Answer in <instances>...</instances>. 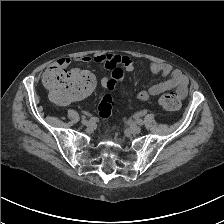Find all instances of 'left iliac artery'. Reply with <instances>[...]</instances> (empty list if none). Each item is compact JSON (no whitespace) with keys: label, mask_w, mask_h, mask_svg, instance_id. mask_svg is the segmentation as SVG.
<instances>
[{"label":"left iliac artery","mask_w":224,"mask_h":224,"mask_svg":"<svg viewBox=\"0 0 224 224\" xmlns=\"http://www.w3.org/2000/svg\"><path fill=\"white\" fill-rule=\"evenodd\" d=\"M136 123H137L138 125H140V126L144 124V122H143L141 119H137V120H136Z\"/></svg>","instance_id":"left-iliac-artery-1"}]
</instances>
